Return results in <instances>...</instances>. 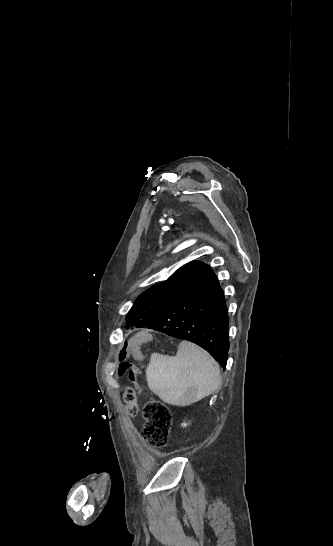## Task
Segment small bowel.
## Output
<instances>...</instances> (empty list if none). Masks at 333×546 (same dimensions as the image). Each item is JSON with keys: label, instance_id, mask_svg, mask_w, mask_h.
<instances>
[{"label": "small bowel", "instance_id": "1", "mask_svg": "<svg viewBox=\"0 0 333 546\" xmlns=\"http://www.w3.org/2000/svg\"><path fill=\"white\" fill-rule=\"evenodd\" d=\"M153 339V333L138 332L130 349L131 359L139 364L142 363L144 360V352L142 347L147 340ZM126 407L127 409L131 410L128 413L131 417H134L139 412L138 405L136 403H129Z\"/></svg>", "mask_w": 333, "mask_h": 546}]
</instances>
